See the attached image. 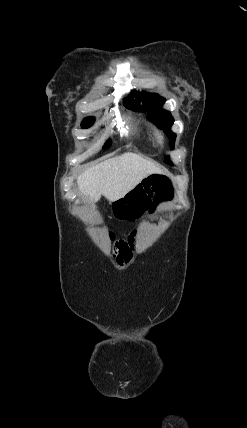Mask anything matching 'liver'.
Listing matches in <instances>:
<instances>
[{
	"instance_id": "6515ba94",
	"label": "liver",
	"mask_w": 247,
	"mask_h": 428,
	"mask_svg": "<svg viewBox=\"0 0 247 428\" xmlns=\"http://www.w3.org/2000/svg\"><path fill=\"white\" fill-rule=\"evenodd\" d=\"M162 171L149 160L126 152L85 170L77 177L81 193L96 202L103 195L117 201L132 191L144 178Z\"/></svg>"
}]
</instances>
